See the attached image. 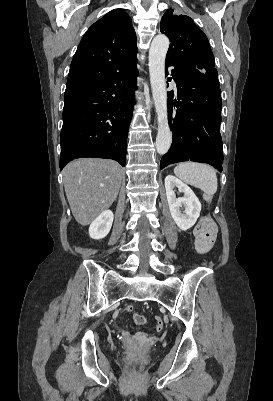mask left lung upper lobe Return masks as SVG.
<instances>
[{"label": "left lung upper lobe", "instance_id": "1", "mask_svg": "<svg viewBox=\"0 0 273 401\" xmlns=\"http://www.w3.org/2000/svg\"><path fill=\"white\" fill-rule=\"evenodd\" d=\"M161 32L170 39L166 57L189 69L207 71L215 68L214 56L206 35L186 15L167 10L160 23Z\"/></svg>", "mask_w": 273, "mask_h": 401}]
</instances>
